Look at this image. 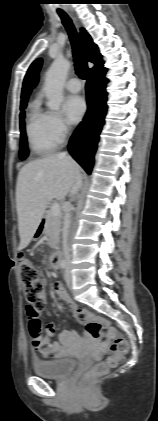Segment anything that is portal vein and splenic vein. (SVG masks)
<instances>
[{
	"label": "portal vein and splenic vein",
	"mask_w": 158,
	"mask_h": 421,
	"mask_svg": "<svg viewBox=\"0 0 158 421\" xmlns=\"http://www.w3.org/2000/svg\"><path fill=\"white\" fill-rule=\"evenodd\" d=\"M51 212L54 216H57L60 214V205L58 203H55L51 206Z\"/></svg>",
	"instance_id": "1"
}]
</instances>
